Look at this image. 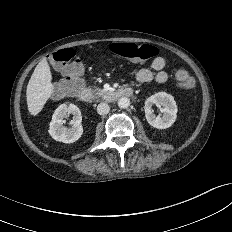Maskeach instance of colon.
Wrapping results in <instances>:
<instances>
[{
    "mask_svg": "<svg viewBox=\"0 0 232 232\" xmlns=\"http://www.w3.org/2000/svg\"><path fill=\"white\" fill-rule=\"evenodd\" d=\"M109 49L113 54L134 62H144L158 54V49L149 44L113 43ZM49 59L62 73V79L54 90L55 95L66 96L77 93L82 86V64L75 58L73 50L55 51L50 54ZM175 81L182 89H190L194 85L193 77L184 67L175 70Z\"/></svg>",
    "mask_w": 232,
    "mask_h": 232,
    "instance_id": "1",
    "label": "colon"
}]
</instances>
